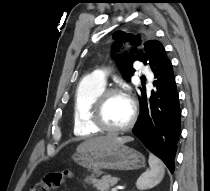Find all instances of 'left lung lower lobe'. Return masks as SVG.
Here are the masks:
<instances>
[{
  "instance_id": "obj_1",
  "label": "left lung lower lobe",
  "mask_w": 210,
  "mask_h": 191,
  "mask_svg": "<svg viewBox=\"0 0 210 191\" xmlns=\"http://www.w3.org/2000/svg\"><path fill=\"white\" fill-rule=\"evenodd\" d=\"M151 69L154 89L140 88V115L132 132L174 173L181 110L173 67L169 58L162 56Z\"/></svg>"
}]
</instances>
